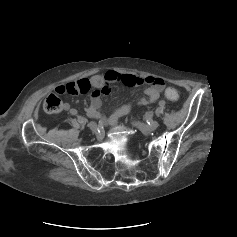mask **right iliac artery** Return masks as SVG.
Here are the masks:
<instances>
[{
	"label": "right iliac artery",
	"mask_w": 237,
	"mask_h": 237,
	"mask_svg": "<svg viewBox=\"0 0 237 237\" xmlns=\"http://www.w3.org/2000/svg\"><path fill=\"white\" fill-rule=\"evenodd\" d=\"M78 112H77V110L76 109H70V114L71 115H76ZM94 118H100L101 117V115L98 113V114H96L95 116H93Z\"/></svg>",
	"instance_id": "right-iliac-artery-1"
}]
</instances>
